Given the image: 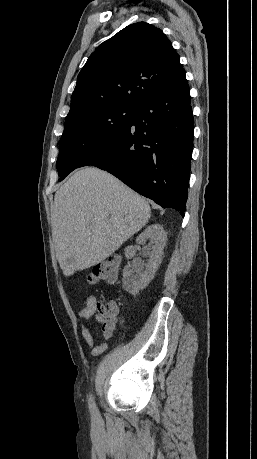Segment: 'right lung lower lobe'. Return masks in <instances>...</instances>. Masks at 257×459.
<instances>
[{
  "mask_svg": "<svg viewBox=\"0 0 257 459\" xmlns=\"http://www.w3.org/2000/svg\"><path fill=\"white\" fill-rule=\"evenodd\" d=\"M185 73L140 102L130 124L112 143L84 160L182 217L186 211L193 116Z\"/></svg>",
  "mask_w": 257,
  "mask_h": 459,
  "instance_id": "right-lung-lower-lobe-1",
  "label": "right lung lower lobe"
}]
</instances>
